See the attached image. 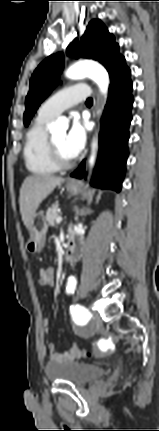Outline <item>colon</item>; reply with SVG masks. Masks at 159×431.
Segmentation results:
<instances>
[{"mask_svg":"<svg viewBox=\"0 0 159 431\" xmlns=\"http://www.w3.org/2000/svg\"><path fill=\"white\" fill-rule=\"evenodd\" d=\"M51 267V272H50V277H48V281H49V289H51V290H54V289H56V287H57V284H56V282H57V279L54 277V275H55V270H56V267H55V265H54V263H49V265H47V267ZM86 354H87V351L86 350H82V353H81V358H85V356H86Z\"/></svg>","mask_w":159,"mask_h":431,"instance_id":"1","label":"colon"}]
</instances>
